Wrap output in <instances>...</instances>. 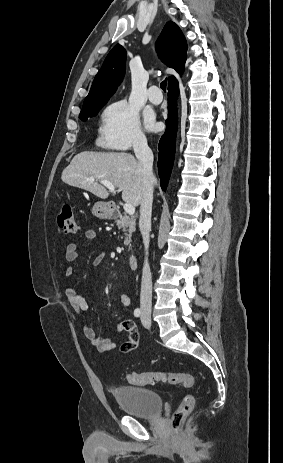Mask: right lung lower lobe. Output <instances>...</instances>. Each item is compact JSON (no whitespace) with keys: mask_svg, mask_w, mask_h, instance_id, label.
<instances>
[{"mask_svg":"<svg viewBox=\"0 0 283 463\" xmlns=\"http://www.w3.org/2000/svg\"><path fill=\"white\" fill-rule=\"evenodd\" d=\"M178 93V82L168 85V119L166 120V131L159 141L158 174L163 190L166 189L173 166L175 154V139L177 132V109L176 98Z\"/></svg>","mask_w":283,"mask_h":463,"instance_id":"right-lung-lower-lobe-1","label":"right lung lower lobe"}]
</instances>
